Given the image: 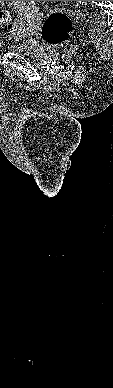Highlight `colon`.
Listing matches in <instances>:
<instances>
[{
    "mask_svg": "<svg viewBox=\"0 0 113 388\" xmlns=\"http://www.w3.org/2000/svg\"><path fill=\"white\" fill-rule=\"evenodd\" d=\"M20 4L26 5L24 2ZM0 24L9 29H14L15 27L14 20L3 9H0ZM71 30L72 21L70 14L63 10H54L44 18L41 35L50 45L61 47L67 43Z\"/></svg>",
    "mask_w": 113,
    "mask_h": 388,
    "instance_id": "5ec220e1",
    "label": "colon"
}]
</instances>
